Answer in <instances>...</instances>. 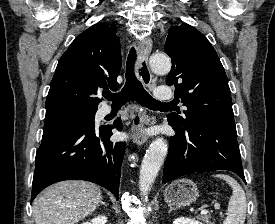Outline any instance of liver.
<instances>
[{
	"instance_id": "1",
	"label": "liver",
	"mask_w": 275,
	"mask_h": 224,
	"mask_svg": "<svg viewBox=\"0 0 275 224\" xmlns=\"http://www.w3.org/2000/svg\"><path fill=\"white\" fill-rule=\"evenodd\" d=\"M98 186L86 181L51 185L33 201L35 224H76L92 214L102 201Z\"/></svg>"
}]
</instances>
